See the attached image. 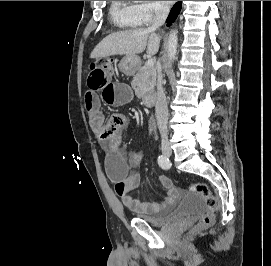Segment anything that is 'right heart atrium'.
Returning a JSON list of instances; mask_svg holds the SVG:
<instances>
[{
    "label": "right heart atrium",
    "mask_w": 271,
    "mask_h": 266,
    "mask_svg": "<svg viewBox=\"0 0 271 266\" xmlns=\"http://www.w3.org/2000/svg\"><path fill=\"white\" fill-rule=\"evenodd\" d=\"M140 24H150L155 18L161 16L166 7L160 1H144L134 5Z\"/></svg>",
    "instance_id": "right-heart-atrium-1"
}]
</instances>
